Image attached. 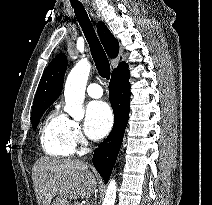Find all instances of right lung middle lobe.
<instances>
[{
    "label": "right lung middle lobe",
    "instance_id": "right-lung-middle-lobe-1",
    "mask_svg": "<svg viewBox=\"0 0 212 205\" xmlns=\"http://www.w3.org/2000/svg\"><path fill=\"white\" fill-rule=\"evenodd\" d=\"M50 106V104L48 105H41V106H37V107H33L32 108V113H31V122H32V127L34 130H36L37 125L39 123V120L41 118V116L43 115V113L45 112V110Z\"/></svg>",
    "mask_w": 212,
    "mask_h": 205
}]
</instances>
